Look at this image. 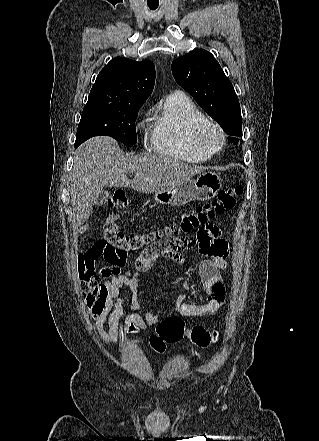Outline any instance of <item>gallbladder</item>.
I'll list each match as a JSON object with an SVG mask.
<instances>
[{
  "instance_id": "bac80fb5",
  "label": "gallbladder",
  "mask_w": 319,
  "mask_h": 441,
  "mask_svg": "<svg viewBox=\"0 0 319 441\" xmlns=\"http://www.w3.org/2000/svg\"><path fill=\"white\" fill-rule=\"evenodd\" d=\"M108 197H109V193H108V191L105 190V189H101V190L97 193L96 198H95V200H94V203H95L97 206H102V205H104V204L106 203Z\"/></svg>"
}]
</instances>
